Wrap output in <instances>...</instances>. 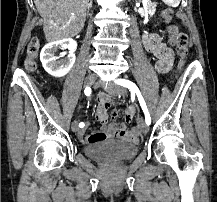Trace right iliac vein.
Returning <instances> with one entry per match:
<instances>
[{
  "mask_svg": "<svg viewBox=\"0 0 217 202\" xmlns=\"http://www.w3.org/2000/svg\"><path fill=\"white\" fill-rule=\"evenodd\" d=\"M95 82V76L92 74H89L86 76L84 84L85 86L89 87L91 85H93ZM71 129L73 132H77L78 131V121L74 120L71 124Z\"/></svg>",
  "mask_w": 217,
  "mask_h": 202,
  "instance_id": "63e3f726",
  "label": "right iliac vein"
}]
</instances>
